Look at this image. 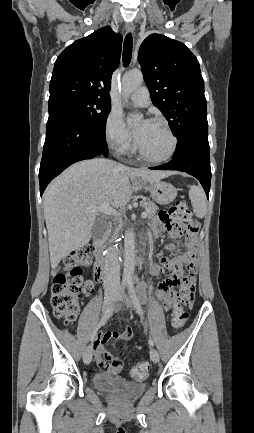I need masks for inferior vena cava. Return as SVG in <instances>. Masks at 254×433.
<instances>
[{"label":"inferior vena cava","instance_id":"1","mask_svg":"<svg viewBox=\"0 0 254 433\" xmlns=\"http://www.w3.org/2000/svg\"><path fill=\"white\" fill-rule=\"evenodd\" d=\"M104 273L105 289L118 288L120 285V264L117 252L113 249H109L105 257Z\"/></svg>","mask_w":254,"mask_h":433}]
</instances>
